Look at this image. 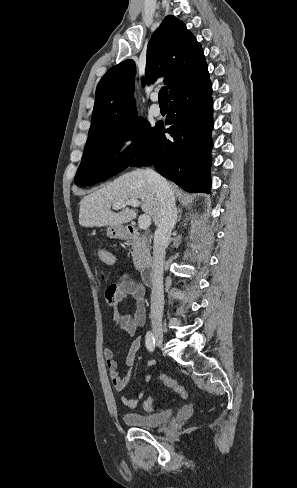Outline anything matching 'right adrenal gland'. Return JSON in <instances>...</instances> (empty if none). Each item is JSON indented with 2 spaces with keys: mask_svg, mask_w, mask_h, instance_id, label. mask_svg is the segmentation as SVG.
Listing matches in <instances>:
<instances>
[{
  "mask_svg": "<svg viewBox=\"0 0 297 488\" xmlns=\"http://www.w3.org/2000/svg\"><path fill=\"white\" fill-rule=\"evenodd\" d=\"M178 213H179L178 221H180V220H181V217H182V211H181V209H180V208H179V210H178Z\"/></svg>",
  "mask_w": 297,
  "mask_h": 488,
  "instance_id": "2a0ac1e0",
  "label": "right adrenal gland"
}]
</instances>
